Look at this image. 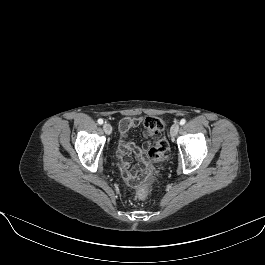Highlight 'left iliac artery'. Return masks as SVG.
Returning a JSON list of instances; mask_svg holds the SVG:
<instances>
[{
	"mask_svg": "<svg viewBox=\"0 0 265 265\" xmlns=\"http://www.w3.org/2000/svg\"><path fill=\"white\" fill-rule=\"evenodd\" d=\"M186 123V120L185 119H181L180 120V125L182 126V125H184Z\"/></svg>",
	"mask_w": 265,
	"mask_h": 265,
	"instance_id": "44dca946",
	"label": "left iliac artery"
}]
</instances>
